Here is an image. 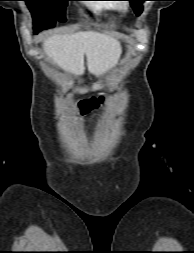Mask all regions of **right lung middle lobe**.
Instances as JSON below:
<instances>
[{
  "label": "right lung middle lobe",
  "mask_w": 194,
  "mask_h": 253,
  "mask_svg": "<svg viewBox=\"0 0 194 253\" xmlns=\"http://www.w3.org/2000/svg\"><path fill=\"white\" fill-rule=\"evenodd\" d=\"M34 20V32L54 27L56 20L65 22V8L70 0H24Z\"/></svg>",
  "instance_id": "obj_1"
}]
</instances>
